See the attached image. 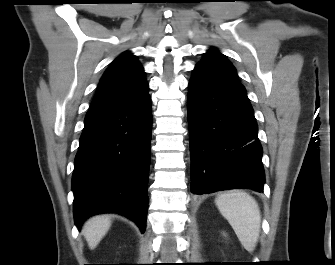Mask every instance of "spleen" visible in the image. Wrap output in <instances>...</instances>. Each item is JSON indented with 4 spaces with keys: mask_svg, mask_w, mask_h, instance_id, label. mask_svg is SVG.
Returning a JSON list of instances; mask_svg holds the SVG:
<instances>
[{
    "mask_svg": "<svg viewBox=\"0 0 335 265\" xmlns=\"http://www.w3.org/2000/svg\"><path fill=\"white\" fill-rule=\"evenodd\" d=\"M215 203L242 246L252 252L258 242L261 226V214L256 200L244 191L230 190L221 193Z\"/></svg>",
    "mask_w": 335,
    "mask_h": 265,
    "instance_id": "spleen-1",
    "label": "spleen"
}]
</instances>
